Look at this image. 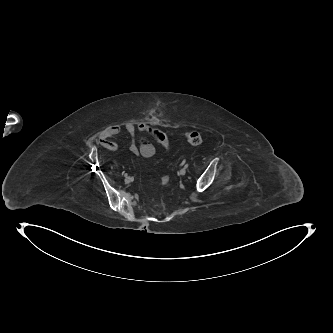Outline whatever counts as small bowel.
<instances>
[{"label":"small bowel","instance_id":"c3829d8e","mask_svg":"<svg viewBox=\"0 0 333 333\" xmlns=\"http://www.w3.org/2000/svg\"><path fill=\"white\" fill-rule=\"evenodd\" d=\"M123 130H125L132 138L130 151L136 157L142 156L144 158H151L155 155L156 149L151 140L160 143L165 149H170L171 147V142L164 132L144 123H139L137 125L133 123H126L124 127L119 125L109 126L100 133L97 143L101 147L115 152L118 150V147L113 141V138L119 135ZM137 133L144 137L140 143H136L135 141Z\"/></svg>","mask_w":333,"mask_h":333}]
</instances>
